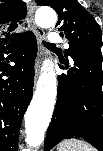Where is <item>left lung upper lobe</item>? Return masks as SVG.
I'll return each mask as SVG.
<instances>
[{
  "label": "left lung upper lobe",
  "instance_id": "obj_1",
  "mask_svg": "<svg viewBox=\"0 0 103 151\" xmlns=\"http://www.w3.org/2000/svg\"><path fill=\"white\" fill-rule=\"evenodd\" d=\"M39 6H51L57 13L59 20L56 26L60 25L61 36L69 40V49L64 56L68 55L75 48L103 46L102 31L93 16L82 7L77 0H35Z\"/></svg>",
  "mask_w": 103,
  "mask_h": 151
}]
</instances>
